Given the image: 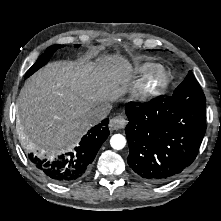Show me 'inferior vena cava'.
Returning <instances> with one entry per match:
<instances>
[{
  "instance_id": "602c4592",
  "label": "inferior vena cava",
  "mask_w": 221,
  "mask_h": 221,
  "mask_svg": "<svg viewBox=\"0 0 221 221\" xmlns=\"http://www.w3.org/2000/svg\"><path fill=\"white\" fill-rule=\"evenodd\" d=\"M110 109L111 105L108 102L96 103L87 112L86 117L91 123L95 124L105 119Z\"/></svg>"
}]
</instances>
